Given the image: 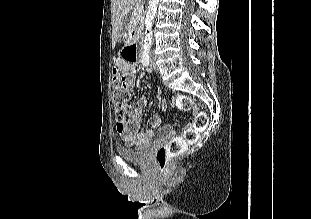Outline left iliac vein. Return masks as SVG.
Segmentation results:
<instances>
[{
	"label": "left iliac vein",
	"instance_id": "4c4485c4",
	"mask_svg": "<svg viewBox=\"0 0 311 219\" xmlns=\"http://www.w3.org/2000/svg\"><path fill=\"white\" fill-rule=\"evenodd\" d=\"M150 67H151L154 71H158V67H157V65H156V63H155L154 57L151 58Z\"/></svg>",
	"mask_w": 311,
	"mask_h": 219
}]
</instances>
